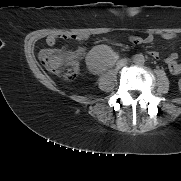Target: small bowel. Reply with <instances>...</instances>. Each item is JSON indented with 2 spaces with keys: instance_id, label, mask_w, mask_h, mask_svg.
I'll list each match as a JSON object with an SVG mask.
<instances>
[{
  "instance_id": "1",
  "label": "small bowel",
  "mask_w": 181,
  "mask_h": 181,
  "mask_svg": "<svg viewBox=\"0 0 181 181\" xmlns=\"http://www.w3.org/2000/svg\"><path fill=\"white\" fill-rule=\"evenodd\" d=\"M160 37L165 40H171L176 37V34L165 32V33H162ZM59 38L84 41L88 39V35L73 34V33H64L61 35H50L47 37L46 42L49 46H54L57 43ZM130 41L135 45L151 44L154 41V36L152 34H147L146 36H143V37L131 36ZM82 52H83L82 49H77L73 53V55H75L76 57H79L82 55ZM149 55L154 59L159 58V54L155 51H150ZM177 58H178V55L176 53H172L165 59V62L168 65L169 71L173 75L181 74V64L177 61Z\"/></svg>"
}]
</instances>
